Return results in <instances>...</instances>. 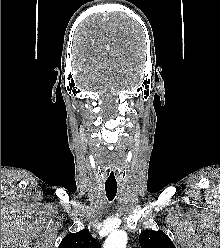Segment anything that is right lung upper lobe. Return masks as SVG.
Instances as JSON below:
<instances>
[{"mask_svg":"<svg viewBox=\"0 0 220 248\" xmlns=\"http://www.w3.org/2000/svg\"><path fill=\"white\" fill-rule=\"evenodd\" d=\"M58 248H101V245L92 238L89 231L82 230L66 235Z\"/></svg>","mask_w":220,"mask_h":248,"instance_id":"cb5924a9","label":"right lung upper lobe"}]
</instances>
